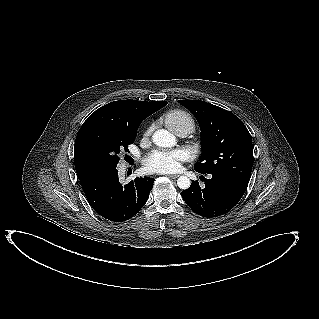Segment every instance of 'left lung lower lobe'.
<instances>
[{
	"label": "left lung lower lobe",
	"mask_w": 319,
	"mask_h": 319,
	"mask_svg": "<svg viewBox=\"0 0 319 319\" xmlns=\"http://www.w3.org/2000/svg\"><path fill=\"white\" fill-rule=\"evenodd\" d=\"M248 183L222 173H212L205 179V188L194 181L181 192L186 204L203 217H218L228 213L240 201Z\"/></svg>",
	"instance_id": "obj_1"
}]
</instances>
